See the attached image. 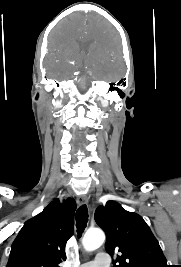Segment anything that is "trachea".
<instances>
[{
    "label": "trachea",
    "mask_w": 181,
    "mask_h": 267,
    "mask_svg": "<svg viewBox=\"0 0 181 267\" xmlns=\"http://www.w3.org/2000/svg\"><path fill=\"white\" fill-rule=\"evenodd\" d=\"M88 222V209L86 205H82L76 212V227L79 238L81 237Z\"/></svg>",
    "instance_id": "obj_1"
}]
</instances>
